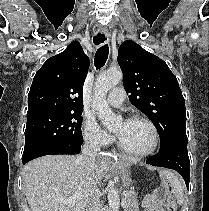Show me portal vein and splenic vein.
<instances>
[{
    "instance_id": "18ae733b",
    "label": "portal vein and splenic vein",
    "mask_w": 209,
    "mask_h": 211,
    "mask_svg": "<svg viewBox=\"0 0 209 211\" xmlns=\"http://www.w3.org/2000/svg\"><path fill=\"white\" fill-rule=\"evenodd\" d=\"M127 193H128V191H124L123 195H126ZM82 197H83L82 195H74V196H71V197L66 198V199H58V201L61 202V203L68 204V205H73L78 200H80Z\"/></svg>"
}]
</instances>
